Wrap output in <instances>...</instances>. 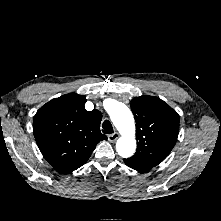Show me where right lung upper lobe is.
I'll return each instance as SVG.
<instances>
[{
	"instance_id": "right-lung-upper-lobe-1",
	"label": "right lung upper lobe",
	"mask_w": 221,
	"mask_h": 221,
	"mask_svg": "<svg viewBox=\"0 0 221 221\" xmlns=\"http://www.w3.org/2000/svg\"><path fill=\"white\" fill-rule=\"evenodd\" d=\"M85 102L83 95L66 94L46 103L34 116V136L41 153L63 173L85 164L97 143L107 139L100 131L102 114L86 111Z\"/></svg>"
}]
</instances>
